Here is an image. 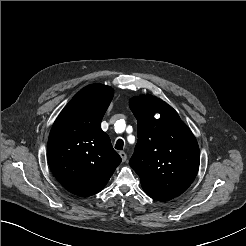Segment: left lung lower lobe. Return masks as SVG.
<instances>
[{
    "label": "left lung lower lobe",
    "instance_id": "obj_1",
    "mask_svg": "<svg viewBox=\"0 0 246 246\" xmlns=\"http://www.w3.org/2000/svg\"><path fill=\"white\" fill-rule=\"evenodd\" d=\"M145 193L150 196L151 198L158 200V201H167V200H171L176 196L155 190L153 188L150 187H146V186H142Z\"/></svg>",
    "mask_w": 246,
    "mask_h": 246
}]
</instances>
